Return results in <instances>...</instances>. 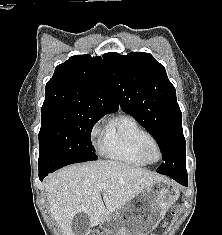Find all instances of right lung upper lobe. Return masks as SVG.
Returning <instances> with one entry per match:
<instances>
[{"label": "right lung upper lobe", "instance_id": "cb5924a9", "mask_svg": "<svg viewBox=\"0 0 222 235\" xmlns=\"http://www.w3.org/2000/svg\"><path fill=\"white\" fill-rule=\"evenodd\" d=\"M45 89L41 114L54 110H78L105 115L119 109L100 56L70 57L55 68Z\"/></svg>", "mask_w": 222, "mask_h": 235}]
</instances>
